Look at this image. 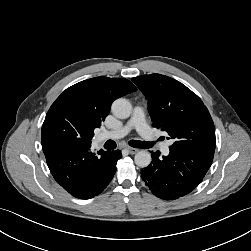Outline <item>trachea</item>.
Listing matches in <instances>:
<instances>
[{
	"label": "trachea",
	"instance_id": "obj_1",
	"mask_svg": "<svg viewBox=\"0 0 251 251\" xmlns=\"http://www.w3.org/2000/svg\"><path fill=\"white\" fill-rule=\"evenodd\" d=\"M129 145L134 148H150L153 146V143L145 142V141H137V140H130ZM105 147L107 149H115L116 143L113 140H108L105 143Z\"/></svg>",
	"mask_w": 251,
	"mask_h": 251
}]
</instances>
